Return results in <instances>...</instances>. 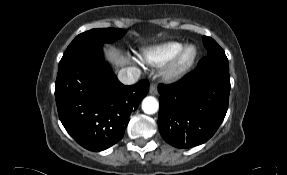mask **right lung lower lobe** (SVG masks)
I'll return each instance as SVG.
<instances>
[{"label": "right lung lower lobe", "mask_w": 287, "mask_h": 175, "mask_svg": "<svg viewBox=\"0 0 287 175\" xmlns=\"http://www.w3.org/2000/svg\"><path fill=\"white\" fill-rule=\"evenodd\" d=\"M149 82L123 85L103 60L102 46L61 60L55 86L59 118L84 148L105 150L124 135L131 112L147 95Z\"/></svg>", "instance_id": "98d812e1"}]
</instances>
